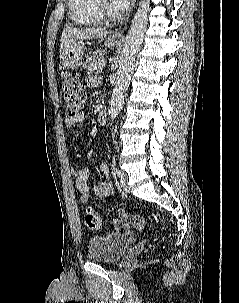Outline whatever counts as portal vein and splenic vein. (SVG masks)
Segmentation results:
<instances>
[{
    "instance_id": "1",
    "label": "portal vein and splenic vein",
    "mask_w": 239,
    "mask_h": 303,
    "mask_svg": "<svg viewBox=\"0 0 239 303\" xmlns=\"http://www.w3.org/2000/svg\"><path fill=\"white\" fill-rule=\"evenodd\" d=\"M106 65V62L104 60H102L100 63H99V66L100 67H104Z\"/></svg>"
}]
</instances>
